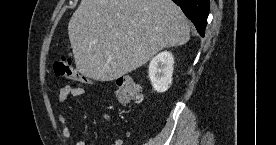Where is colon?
I'll return each instance as SVG.
<instances>
[{
  "mask_svg": "<svg viewBox=\"0 0 276 145\" xmlns=\"http://www.w3.org/2000/svg\"><path fill=\"white\" fill-rule=\"evenodd\" d=\"M53 71L57 76L62 78L76 80L82 83L90 82V79L74 68L71 62L65 57H60L54 61ZM116 95L122 103H137L143 99L142 89L134 79L128 76H120L117 79Z\"/></svg>",
  "mask_w": 276,
  "mask_h": 145,
  "instance_id": "obj_1",
  "label": "colon"
}]
</instances>
